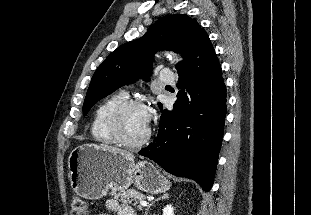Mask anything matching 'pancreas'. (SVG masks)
Here are the masks:
<instances>
[{
    "label": "pancreas",
    "mask_w": 311,
    "mask_h": 215,
    "mask_svg": "<svg viewBox=\"0 0 311 215\" xmlns=\"http://www.w3.org/2000/svg\"><path fill=\"white\" fill-rule=\"evenodd\" d=\"M114 198L119 199L121 202L126 204H132V202H134L133 205L141 209V206L138 205V203L144 199V195L135 189H127L119 192L118 194H114Z\"/></svg>",
    "instance_id": "1"
}]
</instances>
